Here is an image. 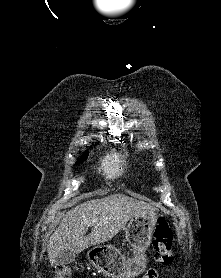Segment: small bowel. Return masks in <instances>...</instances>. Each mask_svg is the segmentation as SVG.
<instances>
[{"label": "small bowel", "instance_id": "1", "mask_svg": "<svg viewBox=\"0 0 221 278\" xmlns=\"http://www.w3.org/2000/svg\"><path fill=\"white\" fill-rule=\"evenodd\" d=\"M144 278H157V277H154L153 275H151V273H147Z\"/></svg>", "mask_w": 221, "mask_h": 278}]
</instances>
